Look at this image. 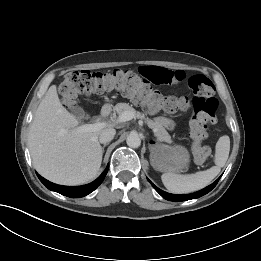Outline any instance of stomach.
<instances>
[{"label":"stomach","mask_w":261,"mask_h":261,"mask_svg":"<svg viewBox=\"0 0 261 261\" xmlns=\"http://www.w3.org/2000/svg\"><path fill=\"white\" fill-rule=\"evenodd\" d=\"M189 162L190 155L184 146H170L159 141L150 145V163L157 171L178 173L185 170Z\"/></svg>","instance_id":"stomach-1"}]
</instances>
